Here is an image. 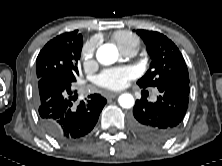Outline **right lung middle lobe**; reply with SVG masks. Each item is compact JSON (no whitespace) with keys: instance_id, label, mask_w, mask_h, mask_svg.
Returning a JSON list of instances; mask_svg holds the SVG:
<instances>
[{"instance_id":"1","label":"right lung middle lobe","mask_w":222,"mask_h":166,"mask_svg":"<svg viewBox=\"0 0 222 166\" xmlns=\"http://www.w3.org/2000/svg\"><path fill=\"white\" fill-rule=\"evenodd\" d=\"M65 37L50 40L40 51L36 61V77L39 79L48 74H62L71 81L79 75L83 38L78 31L64 33Z\"/></svg>"}]
</instances>
